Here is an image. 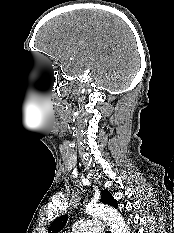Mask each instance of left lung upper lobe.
I'll return each mask as SVG.
<instances>
[{
	"label": "left lung upper lobe",
	"mask_w": 174,
	"mask_h": 233,
	"mask_svg": "<svg viewBox=\"0 0 174 233\" xmlns=\"http://www.w3.org/2000/svg\"><path fill=\"white\" fill-rule=\"evenodd\" d=\"M100 202L111 205L114 208H118L117 200L113 198L112 194L108 190H101ZM67 220H68V215H62L56 218L52 222L48 230V233H58L59 231H61L66 225Z\"/></svg>",
	"instance_id": "5c2ea615"
}]
</instances>
